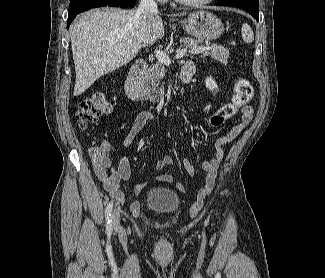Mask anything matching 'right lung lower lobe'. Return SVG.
<instances>
[{"label":"right lung lower lobe","mask_w":325,"mask_h":278,"mask_svg":"<svg viewBox=\"0 0 325 278\" xmlns=\"http://www.w3.org/2000/svg\"><path fill=\"white\" fill-rule=\"evenodd\" d=\"M136 0H71L68 11L67 28L74 20V18L81 12L91 8L112 6V7H129L132 6Z\"/></svg>","instance_id":"1"}]
</instances>
